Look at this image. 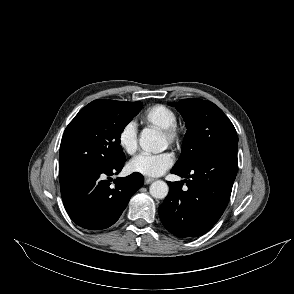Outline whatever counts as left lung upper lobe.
Here are the masks:
<instances>
[{
    "mask_svg": "<svg viewBox=\"0 0 294 294\" xmlns=\"http://www.w3.org/2000/svg\"><path fill=\"white\" fill-rule=\"evenodd\" d=\"M169 105L176 107L187 127L182 153L174 169L188 170L218 147L238 143L233 124L214 103L193 98Z\"/></svg>",
    "mask_w": 294,
    "mask_h": 294,
    "instance_id": "left-lung-upper-lobe-1",
    "label": "left lung upper lobe"
}]
</instances>
